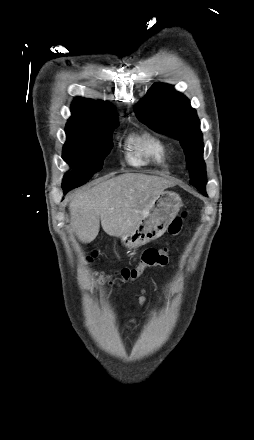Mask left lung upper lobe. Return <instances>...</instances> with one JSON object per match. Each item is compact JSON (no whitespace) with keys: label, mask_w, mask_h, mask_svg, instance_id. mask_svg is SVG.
<instances>
[{"label":"left lung upper lobe","mask_w":254,"mask_h":440,"mask_svg":"<svg viewBox=\"0 0 254 440\" xmlns=\"http://www.w3.org/2000/svg\"><path fill=\"white\" fill-rule=\"evenodd\" d=\"M137 118L155 131L173 136L184 149L190 183L204 195L206 167L202 159L203 137L200 121L190 101L173 86L156 83L134 108Z\"/></svg>","instance_id":"1"}]
</instances>
